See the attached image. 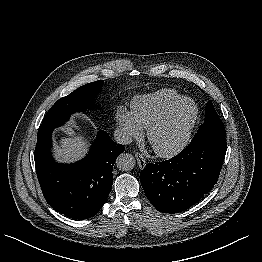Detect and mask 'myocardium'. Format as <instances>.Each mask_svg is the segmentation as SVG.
<instances>
[{
    "label": "myocardium",
    "instance_id": "f54148a6",
    "mask_svg": "<svg viewBox=\"0 0 262 262\" xmlns=\"http://www.w3.org/2000/svg\"><path fill=\"white\" fill-rule=\"evenodd\" d=\"M186 102H191L194 106V113L193 116L189 122V124L187 125L186 129L184 130L181 138L179 139V141L171 148L169 149H165V150H161V149H157L154 145H153V135L154 133L160 128L162 127L170 118L171 116L175 113L176 110H178L184 103ZM199 117V107L198 104L189 97H184L182 99H180L179 101H177L176 103H174L173 105H171L170 107H168L149 127L147 130V139L149 141V143L152 145L155 153L162 158H171L175 155H177L178 153H180L189 143L190 138L192 136L193 130L196 126L197 120Z\"/></svg>",
    "mask_w": 262,
    "mask_h": 262
}]
</instances>
